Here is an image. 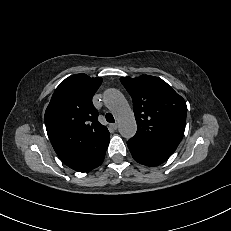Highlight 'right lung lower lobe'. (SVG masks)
Returning <instances> with one entry per match:
<instances>
[{
    "label": "right lung lower lobe",
    "instance_id": "98d812e1",
    "mask_svg": "<svg viewBox=\"0 0 231 231\" xmlns=\"http://www.w3.org/2000/svg\"><path fill=\"white\" fill-rule=\"evenodd\" d=\"M109 144V143H108ZM108 145L105 147V149L101 152V154L99 155L96 163L90 167V169L88 170H80L79 172H88L96 167H98L99 165L102 164L103 160H104V157H105V152H106V149H107Z\"/></svg>",
    "mask_w": 231,
    "mask_h": 231
}]
</instances>
